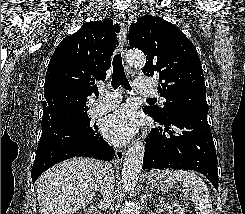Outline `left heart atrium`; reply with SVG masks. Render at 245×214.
Returning a JSON list of instances; mask_svg holds the SVG:
<instances>
[{
  "instance_id": "left-heart-atrium-1",
  "label": "left heart atrium",
  "mask_w": 245,
  "mask_h": 214,
  "mask_svg": "<svg viewBox=\"0 0 245 214\" xmlns=\"http://www.w3.org/2000/svg\"><path fill=\"white\" fill-rule=\"evenodd\" d=\"M137 127L135 112L129 107H122L106 118L102 132L108 141L121 145L131 139Z\"/></svg>"
}]
</instances>
